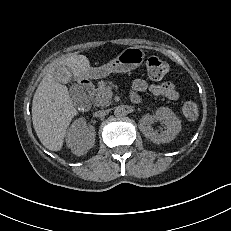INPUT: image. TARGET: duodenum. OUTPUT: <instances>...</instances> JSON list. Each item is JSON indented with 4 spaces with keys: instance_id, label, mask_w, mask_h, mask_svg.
Wrapping results in <instances>:
<instances>
[{
    "instance_id": "410a0bca",
    "label": "duodenum",
    "mask_w": 231,
    "mask_h": 231,
    "mask_svg": "<svg viewBox=\"0 0 231 231\" xmlns=\"http://www.w3.org/2000/svg\"><path fill=\"white\" fill-rule=\"evenodd\" d=\"M82 84L84 95L82 97L81 103L84 108H87L90 104V98L94 92V86L90 81H84Z\"/></svg>"
}]
</instances>
